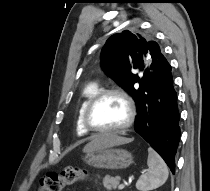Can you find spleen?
I'll use <instances>...</instances> for the list:
<instances>
[{"mask_svg":"<svg viewBox=\"0 0 210 191\" xmlns=\"http://www.w3.org/2000/svg\"><path fill=\"white\" fill-rule=\"evenodd\" d=\"M147 165L149 171L142 174L136 183L139 191L154 190L163 185L168 178V168L164 160L152 148H148Z\"/></svg>","mask_w":210,"mask_h":191,"instance_id":"1","label":"spleen"}]
</instances>
